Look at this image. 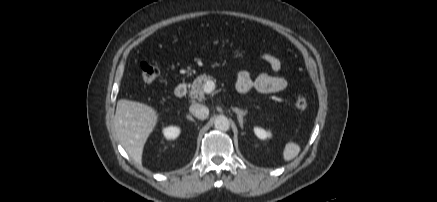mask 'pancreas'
Wrapping results in <instances>:
<instances>
[{"label": "pancreas", "instance_id": "pancreas-1", "mask_svg": "<svg viewBox=\"0 0 437 202\" xmlns=\"http://www.w3.org/2000/svg\"><path fill=\"white\" fill-rule=\"evenodd\" d=\"M213 77L206 75V74H202L200 76H198L192 83L191 85V90L189 92V96L193 99H198V100H202L204 99V85L207 81L212 80Z\"/></svg>", "mask_w": 437, "mask_h": 202}]
</instances>
